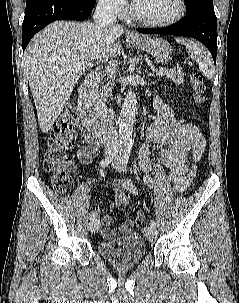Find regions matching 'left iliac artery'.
<instances>
[{
	"label": "left iliac artery",
	"mask_w": 239,
	"mask_h": 303,
	"mask_svg": "<svg viewBox=\"0 0 239 303\" xmlns=\"http://www.w3.org/2000/svg\"><path fill=\"white\" fill-rule=\"evenodd\" d=\"M124 152H123V156L121 158V164H122V167L124 170H127V167H128V162H129V156H130V153H131V149H132V142H126L124 144ZM150 225L151 226H156V222L154 220H151L150 222Z\"/></svg>",
	"instance_id": "44dca946"
}]
</instances>
